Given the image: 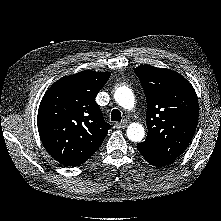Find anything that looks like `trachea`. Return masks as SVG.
<instances>
[{"label":"trachea","mask_w":221,"mask_h":221,"mask_svg":"<svg viewBox=\"0 0 221 221\" xmlns=\"http://www.w3.org/2000/svg\"><path fill=\"white\" fill-rule=\"evenodd\" d=\"M122 119L121 112L118 109H114L111 112V121L120 122Z\"/></svg>","instance_id":"3493384b"}]
</instances>
